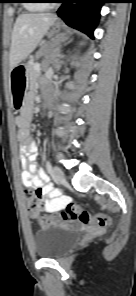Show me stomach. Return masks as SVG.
Wrapping results in <instances>:
<instances>
[{"label":"stomach","mask_w":136,"mask_h":296,"mask_svg":"<svg viewBox=\"0 0 136 296\" xmlns=\"http://www.w3.org/2000/svg\"><path fill=\"white\" fill-rule=\"evenodd\" d=\"M59 29V25H55V30ZM23 64H18L12 69V84H27V69ZM13 90V108L14 111H22L24 101L28 100L25 96V90H29V85H11Z\"/></svg>","instance_id":"1"}]
</instances>
